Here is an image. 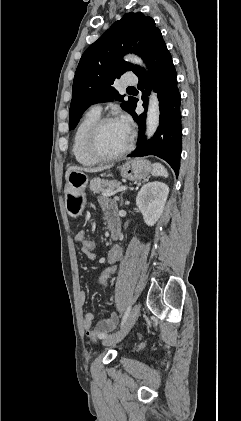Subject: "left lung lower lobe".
Returning a JSON list of instances; mask_svg holds the SVG:
<instances>
[{"mask_svg":"<svg viewBox=\"0 0 241 421\" xmlns=\"http://www.w3.org/2000/svg\"><path fill=\"white\" fill-rule=\"evenodd\" d=\"M144 61L147 62L149 72L139 68L135 73L139 78L138 88L142 91L143 107L145 109H147L148 105L147 98L150 88L152 87L158 93L160 102L159 127L152 139L146 141L143 138L146 111L140 115L135 113L138 101L135 99L130 114L138 122L140 133L138 135L137 148L128 156L156 155L167 161L176 175H178L182 151L181 96L177 87V74L172 57L161 32L155 36Z\"/></svg>","mask_w":241,"mask_h":421,"instance_id":"0a47b994","label":"left lung lower lobe"}]
</instances>
